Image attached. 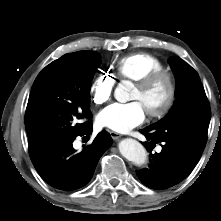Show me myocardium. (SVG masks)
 I'll return each mask as SVG.
<instances>
[{"mask_svg":"<svg viewBox=\"0 0 221 221\" xmlns=\"http://www.w3.org/2000/svg\"><path fill=\"white\" fill-rule=\"evenodd\" d=\"M160 80H164L166 82L168 86V94L165 102L159 109L147 111L148 115L152 118H162L172 109L177 96V84L175 76L171 71L163 68L152 71L136 81V86L145 90Z\"/></svg>","mask_w":221,"mask_h":221,"instance_id":"1","label":"myocardium"}]
</instances>
